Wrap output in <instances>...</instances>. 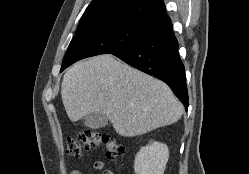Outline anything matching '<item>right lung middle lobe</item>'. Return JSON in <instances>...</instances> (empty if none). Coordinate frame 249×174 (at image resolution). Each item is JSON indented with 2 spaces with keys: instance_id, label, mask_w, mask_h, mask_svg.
Wrapping results in <instances>:
<instances>
[{
  "instance_id": "dd1d6c3e",
  "label": "right lung middle lobe",
  "mask_w": 249,
  "mask_h": 174,
  "mask_svg": "<svg viewBox=\"0 0 249 174\" xmlns=\"http://www.w3.org/2000/svg\"><path fill=\"white\" fill-rule=\"evenodd\" d=\"M148 25L122 22L76 31L65 55L60 72L83 58L123 51L142 39Z\"/></svg>"
}]
</instances>
